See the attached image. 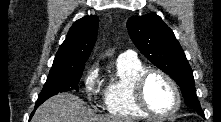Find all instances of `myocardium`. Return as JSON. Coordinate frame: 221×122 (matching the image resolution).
I'll list each match as a JSON object with an SVG mask.
<instances>
[{"mask_svg":"<svg viewBox=\"0 0 221 122\" xmlns=\"http://www.w3.org/2000/svg\"><path fill=\"white\" fill-rule=\"evenodd\" d=\"M153 75H159L164 78L171 86L175 95L174 108L167 113H158L154 111L148 104L145 96V87L149 78ZM133 95L137 106L148 116L155 118H169L176 114L181 107V93L175 80L166 72L160 69H146L137 76L133 84Z\"/></svg>","mask_w":221,"mask_h":122,"instance_id":"1","label":"myocardium"}]
</instances>
